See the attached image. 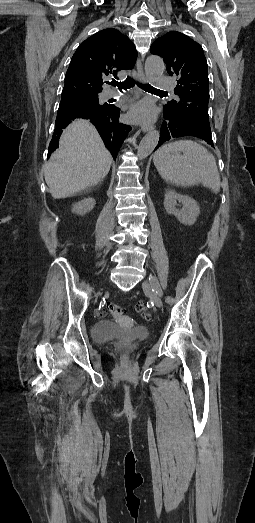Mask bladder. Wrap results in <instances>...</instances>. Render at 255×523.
Instances as JSON below:
<instances>
[{
  "label": "bladder",
  "mask_w": 255,
  "mask_h": 523,
  "mask_svg": "<svg viewBox=\"0 0 255 523\" xmlns=\"http://www.w3.org/2000/svg\"><path fill=\"white\" fill-rule=\"evenodd\" d=\"M93 326L94 330L92 336L99 342H104L108 339L114 338L115 336L121 335L126 337L128 340L139 337L146 339L150 333L148 327L128 329L109 321L101 323L95 322Z\"/></svg>",
  "instance_id": "obj_1"
}]
</instances>
